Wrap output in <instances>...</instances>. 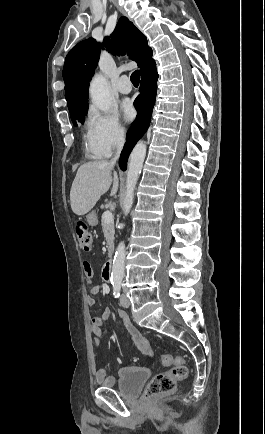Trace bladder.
Masks as SVG:
<instances>
[{
	"label": "bladder",
	"mask_w": 265,
	"mask_h": 434,
	"mask_svg": "<svg viewBox=\"0 0 265 434\" xmlns=\"http://www.w3.org/2000/svg\"><path fill=\"white\" fill-rule=\"evenodd\" d=\"M150 376V370L142 366H125L118 370L117 390L123 398H136Z\"/></svg>",
	"instance_id": "bladder-1"
}]
</instances>
